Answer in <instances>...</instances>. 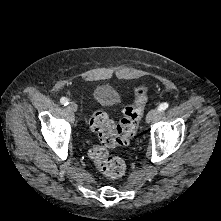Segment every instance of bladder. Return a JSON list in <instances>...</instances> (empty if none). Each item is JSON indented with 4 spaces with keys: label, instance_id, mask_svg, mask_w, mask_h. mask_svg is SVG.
<instances>
[{
    "label": "bladder",
    "instance_id": "obj_1",
    "mask_svg": "<svg viewBox=\"0 0 221 221\" xmlns=\"http://www.w3.org/2000/svg\"><path fill=\"white\" fill-rule=\"evenodd\" d=\"M92 96L94 101L102 106L114 105L119 99L117 91L112 86L107 84H102L95 87Z\"/></svg>",
    "mask_w": 221,
    "mask_h": 221
}]
</instances>
